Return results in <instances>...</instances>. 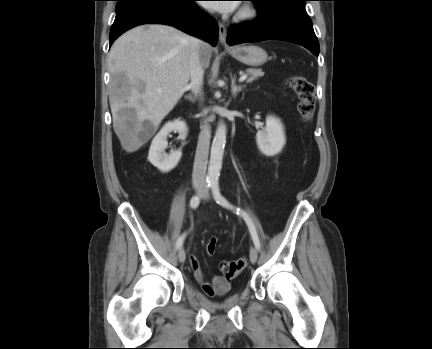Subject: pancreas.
Listing matches in <instances>:
<instances>
[{
  "label": "pancreas",
  "mask_w": 432,
  "mask_h": 349,
  "mask_svg": "<svg viewBox=\"0 0 432 349\" xmlns=\"http://www.w3.org/2000/svg\"><path fill=\"white\" fill-rule=\"evenodd\" d=\"M246 72L247 74L250 75V77L247 79V83H251L252 81L256 80L258 77L264 75V72L260 69L249 68L246 70Z\"/></svg>",
  "instance_id": "1"
}]
</instances>
